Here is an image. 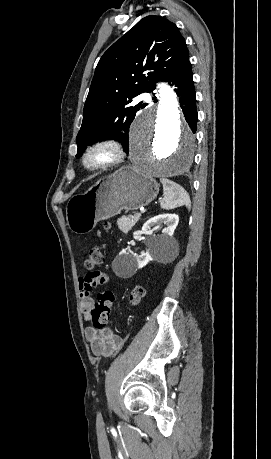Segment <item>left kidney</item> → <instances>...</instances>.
Returning <instances> with one entry per match:
<instances>
[{"mask_svg": "<svg viewBox=\"0 0 271 459\" xmlns=\"http://www.w3.org/2000/svg\"><path fill=\"white\" fill-rule=\"evenodd\" d=\"M179 222V216L177 214H159L154 216L145 222L142 226V231H149L151 228H160L162 224H165L166 228L163 229V233L160 235H154L152 243L149 245L146 253H141L137 257H132L129 265L130 271H136L139 267H144L151 259H160L167 251H173L175 247V239L172 237L174 229L177 228ZM121 259L126 255L125 249L119 253Z\"/></svg>", "mask_w": 271, "mask_h": 459, "instance_id": "5707ae66", "label": "left kidney"}]
</instances>
